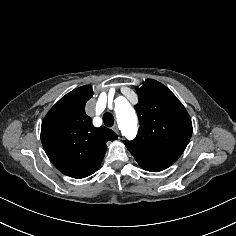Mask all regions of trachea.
Returning <instances> with one entry per match:
<instances>
[{
	"label": "trachea",
	"instance_id": "obj_1",
	"mask_svg": "<svg viewBox=\"0 0 236 236\" xmlns=\"http://www.w3.org/2000/svg\"><path fill=\"white\" fill-rule=\"evenodd\" d=\"M103 122L107 127H112L114 124V117L111 113H105L103 115Z\"/></svg>",
	"mask_w": 236,
	"mask_h": 236
}]
</instances>
